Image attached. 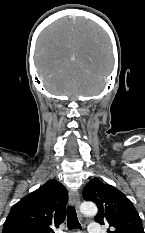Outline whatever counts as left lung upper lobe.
I'll return each mask as SVG.
<instances>
[{"instance_id":"obj_1","label":"left lung upper lobe","mask_w":145,"mask_h":233,"mask_svg":"<svg viewBox=\"0 0 145 233\" xmlns=\"http://www.w3.org/2000/svg\"><path fill=\"white\" fill-rule=\"evenodd\" d=\"M85 200L93 201L98 206L95 221L111 227L108 233H144L141 218L132 202L115 187L90 180L84 190Z\"/></svg>"}]
</instances>
